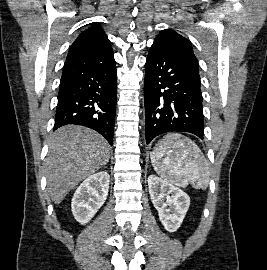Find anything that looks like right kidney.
I'll return each mask as SVG.
<instances>
[{
  "label": "right kidney",
  "mask_w": 267,
  "mask_h": 270,
  "mask_svg": "<svg viewBox=\"0 0 267 270\" xmlns=\"http://www.w3.org/2000/svg\"><path fill=\"white\" fill-rule=\"evenodd\" d=\"M110 176L101 171L85 179L74 193L71 209L81 224L88 223L104 204L109 190Z\"/></svg>",
  "instance_id": "1"
}]
</instances>
